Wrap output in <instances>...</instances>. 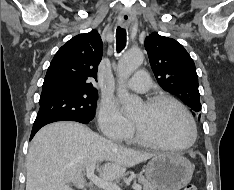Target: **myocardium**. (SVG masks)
Here are the masks:
<instances>
[{"mask_svg":"<svg viewBox=\"0 0 234 190\" xmlns=\"http://www.w3.org/2000/svg\"><path fill=\"white\" fill-rule=\"evenodd\" d=\"M164 101L171 102L174 105H176L183 112L185 117L187 118L189 125H190V129H191V137H190L189 141L184 143V144H166V143L158 142V141L152 139L150 136H148L145 133V131L143 130V128L141 127V125L133 120V126H134V130H135V134H136L137 139L141 143L148 145V146H151V147H155V148L169 149V150H185V149L190 148L196 142L197 127H196V123H195V120H194L192 114L190 113L188 108L181 101H179L175 97L168 95V94H157V95H154V96L148 98L144 102V104L147 107H153L156 104H158L160 102H164Z\"/></svg>","mask_w":234,"mask_h":190,"instance_id":"obj_1","label":"myocardium"}]
</instances>
